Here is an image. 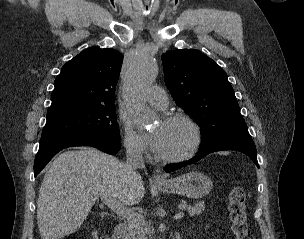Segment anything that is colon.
I'll use <instances>...</instances> for the list:
<instances>
[{"label":"colon","instance_id":"obj_1","mask_svg":"<svg viewBox=\"0 0 304 239\" xmlns=\"http://www.w3.org/2000/svg\"><path fill=\"white\" fill-rule=\"evenodd\" d=\"M227 210L235 239H254L248 223L247 194L240 182H237L228 194Z\"/></svg>","mask_w":304,"mask_h":239}]
</instances>
